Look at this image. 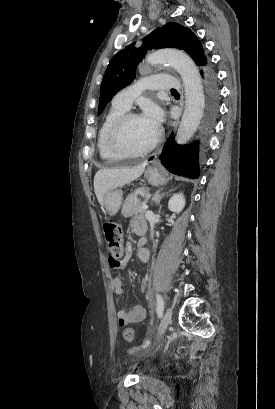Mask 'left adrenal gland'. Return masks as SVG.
I'll list each match as a JSON object with an SVG mask.
<instances>
[{"instance_id": "a2214340", "label": "left adrenal gland", "mask_w": 275, "mask_h": 409, "mask_svg": "<svg viewBox=\"0 0 275 409\" xmlns=\"http://www.w3.org/2000/svg\"><path fill=\"white\" fill-rule=\"evenodd\" d=\"M162 188H159V190H156L152 200H154V202H156V205H159V202L161 200V198H163V196H165V194H168V192H165V194H160ZM172 190H175V188H171V190H169V192H172Z\"/></svg>"}]
</instances>
